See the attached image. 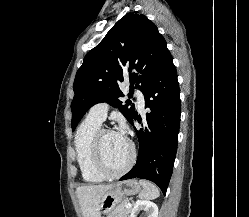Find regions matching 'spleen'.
Masks as SVG:
<instances>
[{
    "label": "spleen",
    "instance_id": "spleen-1",
    "mask_svg": "<svg viewBox=\"0 0 249 217\" xmlns=\"http://www.w3.org/2000/svg\"><path fill=\"white\" fill-rule=\"evenodd\" d=\"M140 185L143 187V190L139 194L141 199H155L159 197V189L151 182L146 180H139Z\"/></svg>",
    "mask_w": 249,
    "mask_h": 217
}]
</instances>
